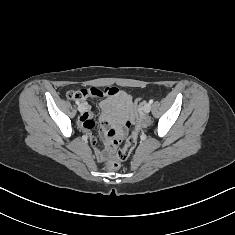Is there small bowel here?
Listing matches in <instances>:
<instances>
[{
    "label": "small bowel",
    "instance_id": "1",
    "mask_svg": "<svg viewBox=\"0 0 235 235\" xmlns=\"http://www.w3.org/2000/svg\"><path fill=\"white\" fill-rule=\"evenodd\" d=\"M113 90V94L105 96L104 100L100 104L101 114L99 117L100 129L106 133L113 130L114 135L119 137V129L122 119L128 118L131 114L132 97L124 91H120L114 87H110ZM86 89L81 90L80 99L84 100L86 96L84 92ZM85 107L84 112L79 117V125L83 128L90 139L92 144H95V137L93 131L95 129V122L93 121V112L90 104L83 101Z\"/></svg>",
    "mask_w": 235,
    "mask_h": 235
}]
</instances>
